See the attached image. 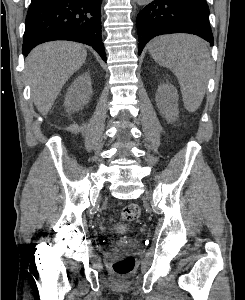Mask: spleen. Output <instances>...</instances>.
Here are the masks:
<instances>
[{
	"label": "spleen",
	"mask_w": 245,
	"mask_h": 300,
	"mask_svg": "<svg viewBox=\"0 0 245 300\" xmlns=\"http://www.w3.org/2000/svg\"><path fill=\"white\" fill-rule=\"evenodd\" d=\"M151 57L176 75L185 108L193 112L201 105L210 70V55L198 37L176 34L153 39L148 46Z\"/></svg>",
	"instance_id": "spleen-1"
}]
</instances>
